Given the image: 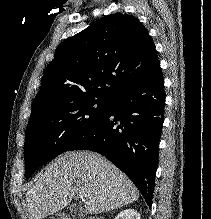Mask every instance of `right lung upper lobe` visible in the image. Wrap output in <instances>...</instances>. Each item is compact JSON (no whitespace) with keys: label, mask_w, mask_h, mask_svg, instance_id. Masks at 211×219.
I'll return each instance as SVG.
<instances>
[{"label":"right lung upper lobe","mask_w":211,"mask_h":219,"mask_svg":"<svg viewBox=\"0 0 211 219\" xmlns=\"http://www.w3.org/2000/svg\"><path fill=\"white\" fill-rule=\"evenodd\" d=\"M158 62L155 45L137 18L107 15L56 48L30 119L83 98L110 100Z\"/></svg>","instance_id":"1"}]
</instances>
